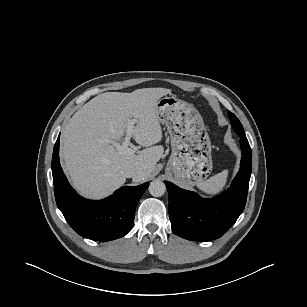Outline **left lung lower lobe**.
<instances>
[{
    "label": "left lung lower lobe",
    "mask_w": 307,
    "mask_h": 307,
    "mask_svg": "<svg viewBox=\"0 0 307 307\" xmlns=\"http://www.w3.org/2000/svg\"><path fill=\"white\" fill-rule=\"evenodd\" d=\"M240 169L229 189L211 198L183 190L165 181L169 194L171 228L178 236L192 241L220 238L244 210L252 169V152L246 137H241Z\"/></svg>",
    "instance_id": "left-lung-lower-lobe-1"
}]
</instances>
